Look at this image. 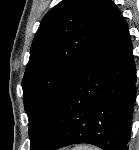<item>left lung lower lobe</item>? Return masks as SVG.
Wrapping results in <instances>:
<instances>
[{
    "label": "left lung lower lobe",
    "instance_id": "left-lung-lower-lobe-1",
    "mask_svg": "<svg viewBox=\"0 0 139 150\" xmlns=\"http://www.w3.org/2000/svg\"><path fill=\"white\" fill-rule=\"evenodd\" d=\"M135 83L128 26L113 4L30 149L55 150L88 143L104 150H128Z\"/></svg>",
    "mask_w": 139,
    "mask_h": 150
}]
</instances>
